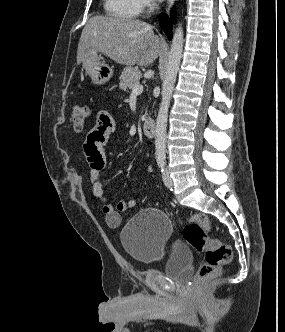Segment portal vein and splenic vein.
<instances>
[{
  "instance_id": "obj_1",
  "label": "portal vein and splenic vein",
  "mask_w": 285,
  "mask_h": 332,
  "mask_svg": "<svg viewBox=\"0 0 285 332\" xmlns=\"http://www.w3.org/2000/svg\"><path fill=\"white\" fill-rule=\"evenodd\" d=\"M142 92H143V86L140 84H137L132 88V95H138L141 94Z\"/></svg>"
}]
</instances>
